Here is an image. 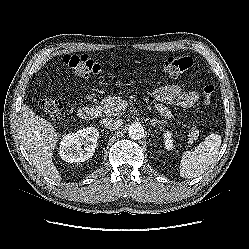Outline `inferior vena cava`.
I'll list each match as a JSON object with an SVG mask.
<instances>
[{
	"instance_id": "obj_1",
	"label": "inferior vena cava",
	"mask_w": 249,
	"mask_h": 249,
	"mask_svg": "<svg viewBox=\"0 0 249 249\" xmlns=\"http://www.w3.org/2000/svg\"><path fill=\"white\" fill-rule=\"evenodd\" d=\"M100 124L107 129H117L121 126V120H116L114 118H105L103 119Z\"/></svg>"
}]
</instances>
